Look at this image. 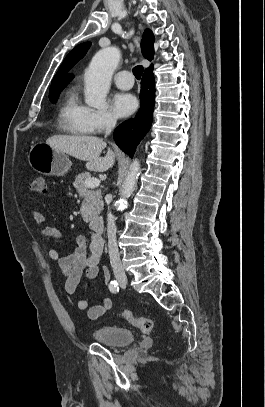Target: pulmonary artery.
I'll return each mask as SVG.
<instances>
[{
  "mask_svg": "<svg viewBox=\"0 0 265 407\" xmlns=\"http://www.w3.org/2000/svg\"><path fill=\"white\" fill-rule=\"evenodd\" d=\"M113 80L115 85L122 90H128L132 88L134 84L132 73L128 70L119 71L115 74Z\"/></svg>",
  "mask_w": 265,
  "mask_h": 407,
  "instance_id": "pulmonary-artery-1",
  "label": "pulmonary artery"
}]
</instances>
